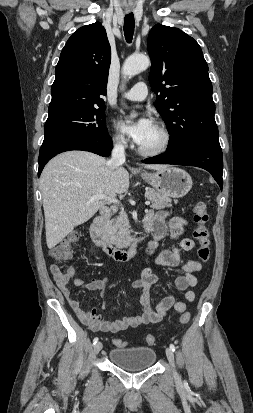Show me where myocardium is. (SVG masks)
I'll return each instance as SVG.
<instances>
[{"mask_svg":"<svg viewBox=\"0 0 253 413\" xmlns=\"http://www.w3.org/2000/svg\"><path fill=\"white\" fill-rule=\"evenodd\" d=\"M154 125L157 127V129L160 131L162 135V141L157 146L156 148L153 149H145L141 147L140 145L138 146L137 150L141 155L144 156H157L160 155L168 150L170 147L171 141H172V134L168 127L160 121H155Z\"/></svg>","mask_w":253,"mask_h":413,"instance_id":"1","label":"myocardium"}]
</instances>
